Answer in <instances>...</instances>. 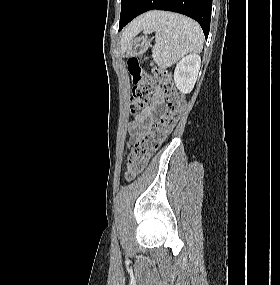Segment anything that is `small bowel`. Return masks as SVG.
<instances>
[{
	"instance_id": "obj_1",
	"label": "small bowel",
	"mask_w": 280,
	"mask_h": 285,
	"mask_svg": "<svg viewBox=\"0 0 280 285\" xmlns=\"http://www.w3.org/2000/svg\"><path fill=\"white\" fill-rule=\"evenodd\" d=\"M163 103V93L159 87H156L151 103L136 115L130 126L131 143H134L149 130L157 109L161 107Z\"/></svg>"
}]
</instances>
